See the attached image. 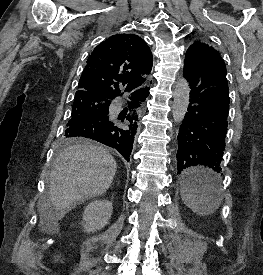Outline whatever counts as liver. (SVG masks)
<instances>
[{
  "label": "liver",
  "instance_id": "1",
  "mask_svg": "<svg viewBox=\"0 0 263 275\" xmlns=\"http://www.w3.org/2000/svg\"><path fill=\"white\" fill-rule=\"evenodd\" d=\"M116 170V161L105 148L83 143L65 149L50 172L47 202L38 205L40 226L57 228L77 202L104 194Z\"/></svg>",
  "mask_w": 263,
  "mask_h": 275
}]
</instances>
